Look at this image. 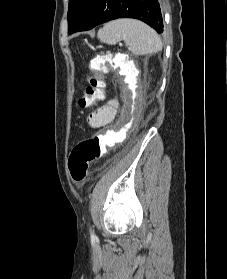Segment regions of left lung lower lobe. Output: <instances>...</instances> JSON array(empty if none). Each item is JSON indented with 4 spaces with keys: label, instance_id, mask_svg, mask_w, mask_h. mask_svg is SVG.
<instances>
[{
    "label": "left lung lower lobe",
    "instance_id": "obj_1",
    "mask_svg": "<svg viewBox=\"0 0 227 279\" xmlns=\"http://www.w3.org/2000/svg\"><path fill=\"white\" fill-rule=\"evenodd\" d=\"M117 18L139 19L158 33L163 31L158 0H93L78 31H87Z\"/></svg>",
    "mask_w": 227,
    "mask_h": 279
}]
</instances>
